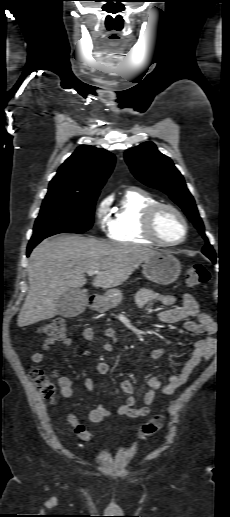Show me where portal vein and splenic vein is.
<instances>
[{
	"label": "portal vein and splenic vein",
	"instance_id": "portal-vein-and-splenic-vein-1",
	"mask_svg": "<svg viewBox=\"0 0 230 517\" xmlns=\"http://www.w3.org/2000/svg\"><path fill=\"white\" fill-rule=\"evenodd\" d=\"M96 273H97V271H96V270H92V269H90V270H88V271H87V274H88L89 276H92V275H94V274H96Z\"/></svg>",
	"mask_w": 230,
	"mask_h": 517
}]
</instances>
